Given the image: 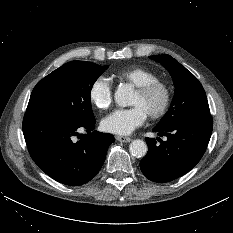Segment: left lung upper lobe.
<instances>
[{"label": "left lung upper lobe", "mask_w": 233, "mask_h": 233, "mask_svg": "<svg viewBox=\"0 0 233 233\" xmlns=\"http://www.w3.org/2000/svg\"><path fill=\"white\" fill-rule=\"evenodd\" d=\"M150 58L160 62L169 70L175 86L171 107L157 127L166 128L191 115H210L205 91L190 71L166 54L150 56Z\"/></svg>", "instance_id": "1"}]
</instances>
